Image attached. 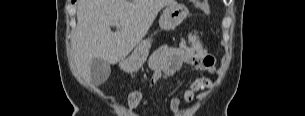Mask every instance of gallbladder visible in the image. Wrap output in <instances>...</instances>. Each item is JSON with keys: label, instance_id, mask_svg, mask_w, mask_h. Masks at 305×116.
Segmentation results:
<instances>
[{"label": "gallbladder", "instance_id": "1", "mask_svg": "<svg viewBox=\"0 0 305 116\" xmlns=\"http://www.w3.org/2000/svg\"><path fill=\"white\" fill-rule=\"evenodd\" d=\"M111 73L110 64L101 58H94L91 64V81L99 86L105 83Z\"/></svg>", "mask_w": 305, "mask_h": 116}]
</instances>
